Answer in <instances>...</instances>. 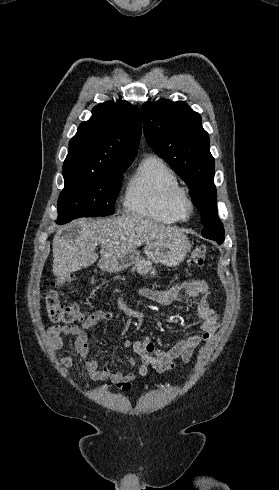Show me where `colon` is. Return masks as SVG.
<instances>
[{
  "instance_id": "5ec220e1",
  "label": "colon",
  "mask_w": 279,
  "mask_h": 490,
  "mask_svg": "<svg viewBox=\"0 0 279 490\" xmlns=\"http://www.w3.org/2000/svg\"><path fill=\"white\" fill-rule=\"evenodd\" d=\"M206 252V245L203 243L198 244L189 256V263L195 267H202L205 262ZM72 281L73 277L71 275H64L57 280L54 287L44 296V307L51 322L72 326L83 320V310L79 305L66 306L60 298L57 284H68Z\"/></svg>"
}]
</instances>
